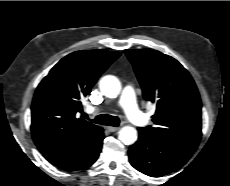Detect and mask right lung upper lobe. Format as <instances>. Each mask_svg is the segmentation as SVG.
Listing matches in <instances>:
<instances>
[{
    "label": "right lung upper lobe",
    "instance_id": "right-lung-upper-lobe-1",
    "mask_svg": "<svg viewBox=\"0 0 230 186\" xmlns=\"http://www.w3.org/2000/svg\"><path fill=\"white\" fill-rule=\"evenodd\" d=\"M106 50L76 51L61 59L40 82L31 106V131L43 156L57 167L76 159L102 128L81 118V98L120 56Z\"/></svg>",
    "mask_w": 230,
    "mask_h": 186
}]
</instances>
